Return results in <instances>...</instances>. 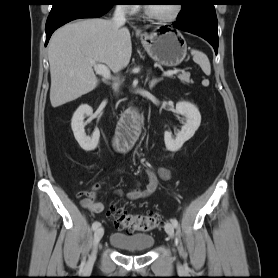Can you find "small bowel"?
Wrapping results in <instances>:
<instances>
[{"label": "small bowel", "instance_id": "c3829d8e", "mask_svg": "<svg viewBox=\"0 0 278 278\" xmlns=\"http://www.w3.org/2000/svg\"><path fill=\"white\" fill-rule=\"evenodd\" d=\"M149 182L145 189L140 188L139 184H135L133 189L126 193V197L130 200L142 199L153 194L159 186L160 180H168L170 177L169 170L165 168L159 169L156 173L151 169H147ZM102 182L93 185L89 192H86V197L81 200V205L93 214H99L104 210V204L98 200L97 192L101 188ZM117 195L122 196L121 191L116 192Z\"/></svg>", "mask_w": 278, "mask_h": 278}]
</instances>
